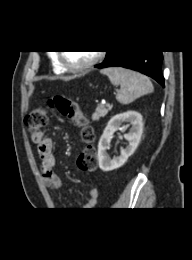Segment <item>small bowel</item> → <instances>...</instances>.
Here are the masks:
<instances>
[{"label": "small bowel", "mask_w": 192, "mask_h": 260, "mask_svg": "<svg viewBox=\"0 0 192 260\" xmlns=\"http://www.w3.org/2000/svg\"><path fill=\"white\" fill-rule=\"evenodd\" d=\"M32 142L37 147V153L40 158V168L42 180L46 186L52 190H56L62 186L61 178L54 172L55 155L54 146L50 138L46 137L43 132H38L31 136ZM99 192L97 188H92L89 191V196L85 202L83 209L90 210L97 203Z\"/></svg>", "instance_id": "obj_1"}]
</instances>
